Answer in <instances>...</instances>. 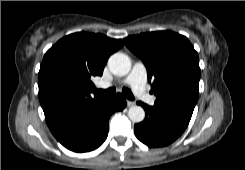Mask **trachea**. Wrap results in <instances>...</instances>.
I'll use <instances>...</instances> for the list:
<instances>
[{
    "label": "trachea",
    "mask_w": 245,
    "mask_h": 170,
    "mask_svg": "<svg viewBox=\"0 0 245 170\" xmlns=\"http://www.w3.org/2000/svg\"><path fill=\"white\" fill-rule=\"evenodd\" d=\"M98 92L102 93L103 95H112V94H114L116 92V89L114 87H111V88L106 89V90L99 89ZM122 93L129 100H134L135 99V97L132 94L131 90H129L128 88H123L122 89Z\"/></svg>",
    "instance_id": "3493384b"
}]
</instances>
